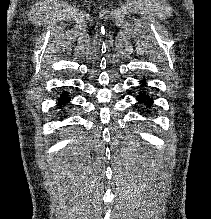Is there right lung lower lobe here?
Wrapping results in <instances>:
<instances>
[{"label":"right lung lower lobe","instance_id":"1","mask_svg":"<svg viewBox=\"0 0 211 219\" xmlns=\"http://www.w3.org/2000/svg\"><path fill=\"white\" fill-rule=\"evenodd\" d=\"M70 100V97L66 94H63L60 96V99L58 100V106L62 107Z\"/></svg>","mask_w":211,"mask_h":219}]
</instances>
